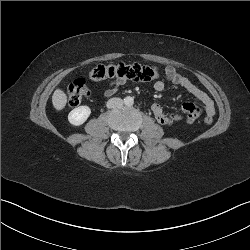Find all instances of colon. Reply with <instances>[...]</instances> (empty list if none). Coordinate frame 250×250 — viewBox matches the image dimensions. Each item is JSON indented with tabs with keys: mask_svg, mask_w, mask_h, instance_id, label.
I'll use <instances>...</instances> for the list:
<instances>
[{
	"mask_svg": "<svg viewBox=\"0 0 250 250\" xmlns=\"http://www.w3.org/2000/svg\"><path fill=\"white\" fill-rule=\"evenodd\" d=\"M158 76L157 68L140 64H108L97 65L89 72V78L94 81L105 79H123L137 82H150ZM89 94L84 79H76L66 88V96L69 105L75 106L80 104ZM213 117L206 115L204 123L211 125Z\"/></svg>",
	"mask_w": 250,
	"mask_h": 250,
	"instance_id": "5ec220e1",
	"label": "colon"
}]
</instances>
